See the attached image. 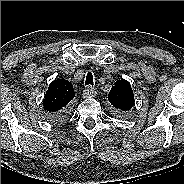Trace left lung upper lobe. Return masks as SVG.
Wrapping results in <instances>:
<instances>
[{
  "mask_svg": "<svg viewBox=\"0 0 184 184\" xmlns=\"http://www.w3.org/2000/svg\"><path fill=\"white\" fill-rule=\"evenodd\" d=\"M108 100L122 115L129 113L134 105V94L130 83L124 79L116 81L109 92Z\"/></svg>",
  "mask_w": 184,
  "mask_h": 184,
  "instance_id": "left-lung-upper-lobe-1",
  "label": "left lung upper lobe"
}]
</instances>
